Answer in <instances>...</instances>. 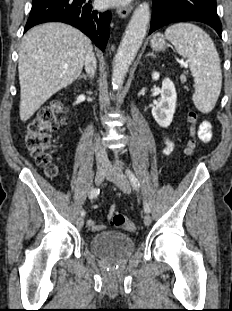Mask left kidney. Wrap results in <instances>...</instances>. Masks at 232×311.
<instances>
[{
    "label": "left kidney",
    "mask_w": 232,
    "mask_h": 311,
    "mask_svg": "<svg viewBox=\"0 0 232 311\" xmlns=\"http://www.w3.org/2000/svg\"><path fill=\"white\" fill-rule=\"evenodd\" d=\"M153 80L159 79V73L154 72L152 74ZM161 98L159 102L152 108V115L156 122L162 127H168L175 113L177 93L174 83L165 78L162 82Z\"/></svg>",
    "instance_id": "5707ae66"
}]
</instances>
